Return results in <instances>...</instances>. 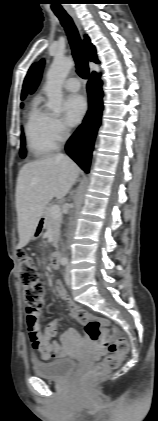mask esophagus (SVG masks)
Instances as JSON below:
<instances>
[{"label": "esophagus", "instance_id": "obj_1", "mask_svg": "<svg viewBox=\"0 0 158 421\" xmlns=\"http://www.w3.org/2000/svg\"><path fill=\"white\" fill-rule=\"evenodd\" d=\"M69 14L72 17V19H73L74 23L76 24L77 28L79 29V32L82 34L81 23H80V20L78 19L77 15L73 11H70Z\"/></svg>", "mask_w": 158, "mask_h": 421}]
</instances>
